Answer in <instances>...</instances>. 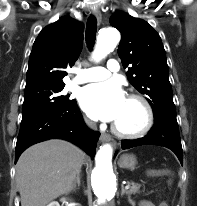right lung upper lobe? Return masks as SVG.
<instances>
[{
    "instance_id": "right-lung-upper-lobe-1",
    "label": "right lung upper lobe",
    "mask_w": 197,
    "mask_h": 206,
    "mask_svg": "<svg viewBox=\"0 0 197 206\" xmlns=\"http://www.w3.org/2000/svg\"><path fill=\"white\" fill-rule=\"evenodd\" d=\"M83 44V26L70 17H62L46 26L33 44L29 57L26 88L65 85L66 72L78 59Z\"/></svg>"
}]
</instances>
